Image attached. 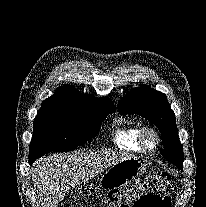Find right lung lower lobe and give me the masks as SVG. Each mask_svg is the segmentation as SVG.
<instances>
[{
  "label": "right lung lower lobe",
  "instance_id": "98d812e1",
  "mask_svg": "<svg viewBox=\"0 0 206 207\" xmlns=\"http://www.w3.org/2000/svg\"><path fill=\"white\" fill-rule=\"evenodd\" d=\"M39 157H29V164L31 165Z\"/></svg>",
  "mask_w": 206,
  "mask_h": 207
}]
</instances>
